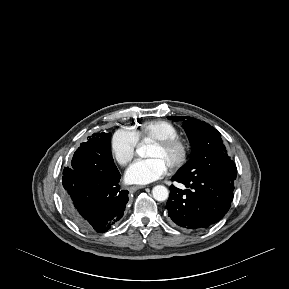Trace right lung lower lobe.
<instances>
[{
    "instance_id": "1",
    "label": "right lung lower lobe",
    "mask_w": 289,
    "mask_h": 289,
    "mask_svg": "<svg viewBox=\"0 0 289 289\" xmlns=\"http://www.w3.org/2000/svg\"><path fill=\"white\" fill-rule=\"evenodd\" d=\"M63 201L83 229L104 233L123 216L128 191L120 189L117 167L100 170L89 160L63 172Z\"/></svg>"
}]
</instances>
